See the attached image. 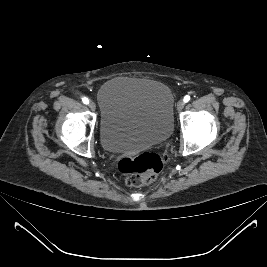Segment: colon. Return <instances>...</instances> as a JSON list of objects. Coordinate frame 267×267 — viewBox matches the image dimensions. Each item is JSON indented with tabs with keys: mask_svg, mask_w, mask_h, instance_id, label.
Returning <instances> with one entry per match:
<instances>
[{
	"mask_svg": "<svg viewBox=\"0 0 267 267\" xmlns=\"http://www.w3.org/2000/svg\"><path fill=\"white\" fill-rule=\"evenodd\" d=\"M166 162L163 154L146 151L136 157H124L117 165L118 171L130 186H142L152 183Z\"/></svg>",
	"mask_w": 267,
	"mask_h": 267,
	"instance_id": "1",
	"label": "colon"
}]
</instances>
